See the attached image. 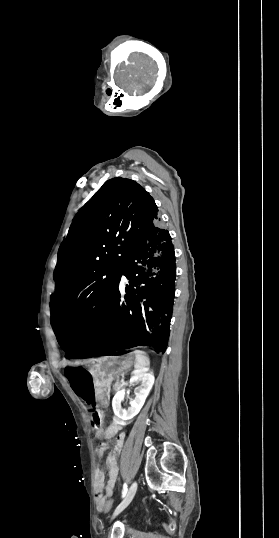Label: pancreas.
<instances>
[{
	"mask_svg": "<svg viewBox=\"0 0 279 538\" xmlns=\"http://www.w3.org/2000/svg\"><path fill=\"white\" fill-rule=\"evenodd\" d=\"M113 384L115 385V388H120V381L118 379H115Z\"/></svg>",
	"mask_w": 279,
	"mask_h": 538,
	"instance_id": "1",
	"label": "pancreas"
}]
</instances>
